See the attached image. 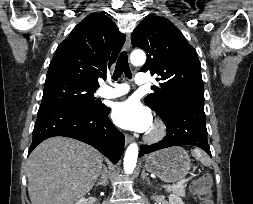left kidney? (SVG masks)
Listing matches in <instances>:
<instances>
[{"label":"left kidney","instance_id":"obj_1","mask_svg":"<svg viewBox=\"0 0 253 204\" xmlns=\"http://www.w3.org/2000/svg\"><path fill=\"white\" fill-rule=\"evenodd\" d=\"M169 204H184L182 199L174 194L169 196Z\"/></svg>","mask_w":253,"mask_h":204}]
</instances>
